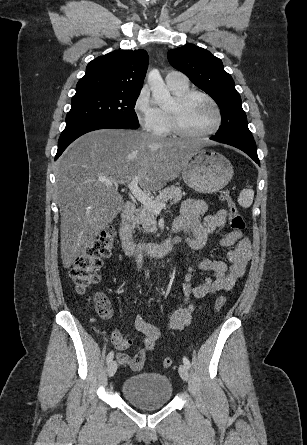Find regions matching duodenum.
Instances as JSON below:
<instances>
[{
    "label": "duodenum",
    "mask_w": 307,
    "mask_h": 445,
    "mask_svg": "<svg viewBox=\"0 0 307 445\" xmlns=\"http://www.w3.org/2000/svg\"><path fill=\"white\" fill-rule=\"evenodd\" d=\"M135 205L127 202L124 205L120 222V240L124 251L127 254L135 253L139 246L151 257L159 258L170 253L174 246V237L170 235L161 243H143L138 244L133 238V214Z\"/></svg>",
    "instance_id": "obj_1"
}]
</instances>
